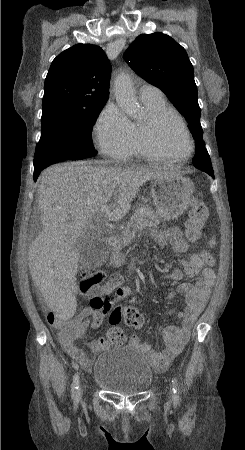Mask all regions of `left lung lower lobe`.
I'll list each match as a JSON object with an SVG mask.
<instances>
[{"label":"left lung lower lobe","instance_id":"0a47b994","mask_svg":"<svg viewBox=\"0 0 245 450\" xmlns=\"http://www.w3.org/2000/svg\"><path fill=\"white\" fill-rule=\"evenodd\" d=\"M196 150H197L196 153L200 155L202 160L206 159L207 151L205 150L204 145H196ZM203 171H205L206 173H208L210 176H212L214 178V172H213L212 167L208 168V169H203Z\"/></svg>","mask_w":245,"mask_h":450}]
</instances>
